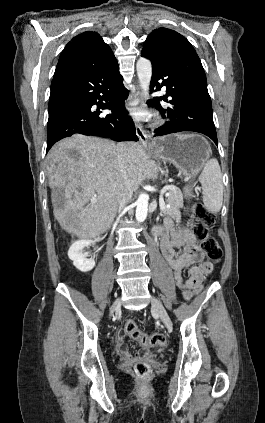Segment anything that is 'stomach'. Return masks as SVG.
Returning <instances> with one entry per match:
<instances>
[{
  "instance_id": "0dacf381",
  "label": "stomach",
  "mask_w": 265,
  "mask_h": 423,
  "mask_svg": "<svg viewBox=\"0 0 265 423\" xmlns=\"http://www.w3.org/2000/svg\"><path fill=\"white\" fill-rule=\"evenodd\" d=\"M153 156L161 161L172 163L183 176H196L211 154L208 141L198 134H175L159 138ZM193 184L184 188L186 197H192Z\"/></svg>"
}]
</instances>
